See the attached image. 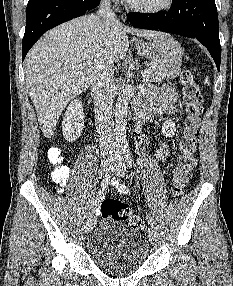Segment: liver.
Masks as SVG:
<instances>
[{
  "instance_id": "6515ba94",
  "label": "liver",
  "mask_w": 233,
  "mask_h": 286,
  "mask_svg": "<svg viewBox=\"0 0 233 286\" xmlns=\"http://www.w3.org/2000/svg\"><path fill=\"white\" fill-rule=\"evenodd\" d=\"M126 33L153 40L163 33L124 27L91 14L68 21L41 38L28 52L25 83L46 138L71 99L84 92L101 59L114 62L126 54Z\"/></svg>"
}]
</instances>
